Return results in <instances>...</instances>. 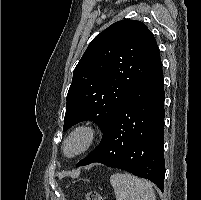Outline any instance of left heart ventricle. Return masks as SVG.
Masks as SVG:
<instances>
[{"label":"left heart ventricle","mask_w":201,"mask_h":200,"mask_svg":"<svg viewBox=\"0 0 201 200\" xmlns=\"http://www.w3.org/2000/svg\"><path fill=\"white\" fill-rule=\"evenodd\" d=\"M84 142V138L82 136H76L74 137L68 144L67 146V151L69 153H73L76 152L77 150H79Z\"/></svg>","instance_id":"left-heart-ventricle-1"}]
</instances>
